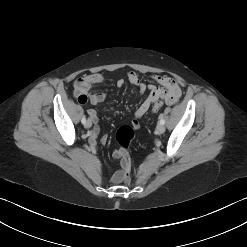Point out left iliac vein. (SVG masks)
<instances>
[{"label":"left iliac vein","mask_w":247,"mask_h":247,"mask_svg":"<svg viewBox=\"0 0 247 247\" xmlns=\"http://www.w3.org/2000/svg\"><path fill=\"white\" fill-rule=\"evenodd\" d=\"M156 132L158 134H163L165 132V126H164V124L159 123L157 125Z\"/></svg>","instance_id":"obj_1"}]
</instances>
